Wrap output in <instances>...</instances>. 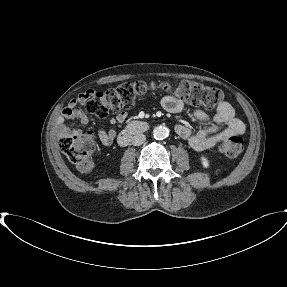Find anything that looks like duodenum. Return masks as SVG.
Segmentation results:
<instances>
[{
    "label": "duodenum",
    "mask_w": 287,
    "mask_h": 287,
    "mask_svg": "<svg viewBox=\"0 0 287 287\" xmlns=\"http://www.w3.org/2000/svg\"><path fill=\"white\" fill-rule=\"evenodd\" d=\"M148 129V124L145 121L133 120L119 134L118 142L120 145H126L132 136L141 134Z\"/></svg>",
    "instance_id": "1"
}]
</instances>
